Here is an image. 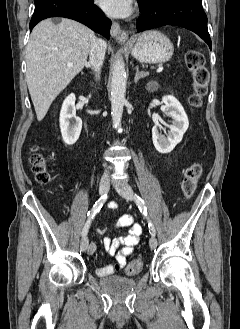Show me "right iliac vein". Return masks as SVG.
<instances>
[{
	"mask_svg": "<svg viewBox=\"0 0 240 329\" xmlns=\"http://www.w3.org/2000/svg\"><path fill=\"white\" fill-rule=\"evenodd\" d=\"M109 187H110L109 178H107V177L102 178L100 181V185H99V193L101 195L106 194L109 191ZM88 243H89V241H88L87 236H84L80 243V249L82 252H85L87 250Z\"/></svg>",
	"mask_w": 240,
	"mask_h": 329,
	"instance_id": "obj_1",
	"label": "right iliac vein"
}]
</instances>
